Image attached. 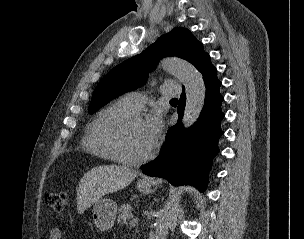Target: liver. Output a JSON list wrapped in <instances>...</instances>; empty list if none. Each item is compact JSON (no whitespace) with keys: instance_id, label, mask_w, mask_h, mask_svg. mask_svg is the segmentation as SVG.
<instances>
[{"instance_id":"1","label":"liver","mask_w":304,"mask_h":239,"mask_svg":"<svg viewBox=\"0 0 304 239\" xmlns=\"http://www.w3.org/2000/svg\"><path fill=\"white\" fill-rule=\"evenodd\" d=\"M138 172L125 166L103 165L86 172L77 190V211L83 214L104 195L117 192L128 186Z\"/></svg>"}]
</instances>
